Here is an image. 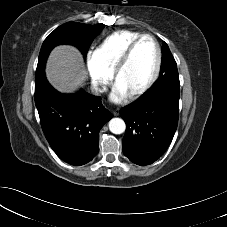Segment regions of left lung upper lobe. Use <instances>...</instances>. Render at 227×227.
I'll return each instance as SVG.
<instances>
[{"label":"left lung upper lobe","mask_w":227,"mask_h":227,"mask_svg":"<svg viewBox=\"0 0 227 227\" xmlns=\"http://www.w3.org/2000/svg\"><path fill=\"white\" fill-rule=\"evenodd\" d=\"M179 76L176 61L164 42L162 46V61L160 75L151 92L168 90L179 93Z\"/></svg>","instance_id":"1"}]
</instances>
